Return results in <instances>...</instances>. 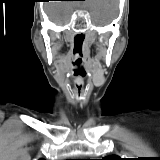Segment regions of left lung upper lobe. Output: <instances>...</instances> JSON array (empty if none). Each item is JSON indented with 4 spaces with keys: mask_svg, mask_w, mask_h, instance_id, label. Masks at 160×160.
<instances>
[{
    "mask_svg": "<svg viewBox=\"0 0 160 160\" xmlns=\"http://www.w3.org/2000/svg\"><path fill=\"white\" fill-rule=\"evenodd\" d=\"M102 160H122V159L119 158L118 156L113 155L106 158H102Z\"/></svg>",
    "mask_w": 160,
    "mask_h": 160,
    "instance_id": "5c2ea615",
    "label": "left lung upper lobe"
}]
</instances>
